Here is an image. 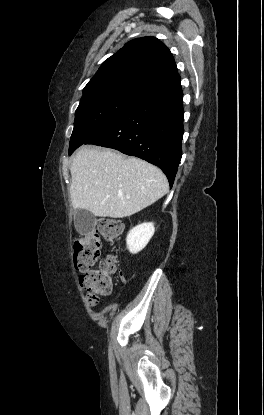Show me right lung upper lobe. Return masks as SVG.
Listing matches in <instances>:
<instances>
[{"label": "right lung upper lobe", "mask_w": 264, "mask_h": 415, "mask_svg": "<svg viewBox=\"0 0 264 415\" xmlns=\"http://www.w3.org/2000/svg\"><path fill=\"white\" fill-rule=\"evenodd\" d=\"M180 82L166 45L155 37H142L129 41L104 61L85 86L83 96L125 92L144 99Z\"/></svg>", "instance_id": "cb5924a9"}]
</instances>
